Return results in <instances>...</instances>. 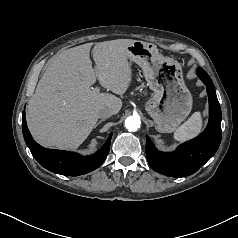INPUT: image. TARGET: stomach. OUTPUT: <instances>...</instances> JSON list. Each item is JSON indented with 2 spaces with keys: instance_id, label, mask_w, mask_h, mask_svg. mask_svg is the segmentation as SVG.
Listing matches in <instances>:
<instances>
[{
  "instance_id": "stomach-1",
  "label": "stomach",
  "mask_w": 238,
  "mask_h": 238,
  "mask_svg": "<svg viewBox=\"0 0 238 238\" xmlns=\"http://www.w3.org/2000/svg\"><path fill=\"white\" fill-rule=\"evenodd\" d=\"M128 58L143 70L147 85L154 92L146 104L155 128L161 133L176 130L192 109V96L185 85L181 64L165 57L156 45L134 41L127 46Z\"/></svg>"
}]
</instances>
